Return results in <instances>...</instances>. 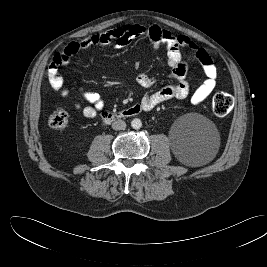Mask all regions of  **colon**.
I'll return each mask as SVG.
<instances>
[{"mask_svg":"<svg viewBox=\"0 0 267 267\" xmlns=\"http://www.w3.org/2000/svg\"><path fill=\"white\" fill-rule=\"evenodd\" d=\"M234 99L228 92H217L212 100V109L216 117H226L233 109ZM49 125L55 129H64L69 122L67 112L62 108L55 109L48 118Z\"/></svg>","mask_w":267,"mask_h":267,"instance_id":"5ec220e1","label":"colon"}]
</instances>
